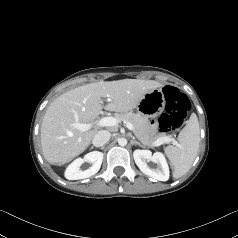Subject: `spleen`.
<instances>
[{
    "instance_id": "spleen-1",
    "label": "spleen",
    "mask_w": 238,
    "mask_h": 238,
    "mask_svg": "<svg viewBox=\"0 0 238 238\" xmlns=\"http://www.w3.org/2000/svg\"><path fill=\"white\" fill-rule=\"evenodd\" d=\"M200 129L198 118L193 113L187 125L178 135V145H169L165 148V154L173 168V176L179 178L189 171L199 149Z\"/></svg>"
}]
</instances>
